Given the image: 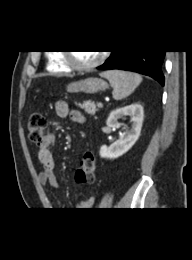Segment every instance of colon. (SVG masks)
<instances>
[{"instance_id": "1", "label": "colon", "mask_w": 192, "mask_h": 260, "mask_svg": "<svg viewBox=\"0 0 192 260\" xmlns=\"http://www.w3.org/2000/svg\"><path fill=\"white\" fill-rule=\"evenodd\" d=\"M46 119L42 112L35 111L28 118V136L36 145L40 146L45 139ZM95 159L92 153L87 152L80 161L75 179L78 184H89L95 179Z\"/></svg>"}]
</instances>
